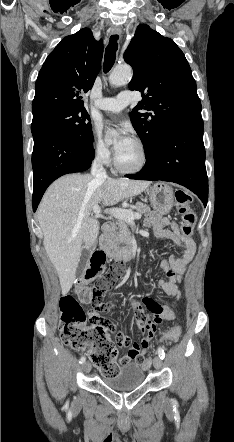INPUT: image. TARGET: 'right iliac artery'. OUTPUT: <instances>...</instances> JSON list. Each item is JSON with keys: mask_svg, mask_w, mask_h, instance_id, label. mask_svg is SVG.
I'll return each mask as SVG.
<instances>
[{"mask_svg": "<svg viewBox=\"0 0 234 442\" xmlns=\"http://www.w3.org/2000/svg\"><path fill=\"white\" fill-rule=\"evenodd\" d=\"M85 360H86V358L83 356V357H81L80 358V363H84L85 362Z\"/></svg>", "mask_w": 234, "mask_h": 442, "instance_id": "82829eb1", "label": "right iliac artery"}]
</instances>
